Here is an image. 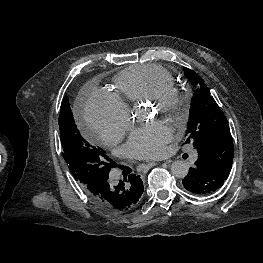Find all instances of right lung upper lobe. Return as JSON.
<instances>
[{"label":"right lung upper lobe","mask_w":263,"mask_h":263,"mask_svg":"<svg viewBox=\"0 0 263 263\" xmlns=\"http://www.w3.org/2000/svg\"><path fill=\"white\" fill-rule=\"evenodd\" d=\"M143 193V186L136 187L135 190L130 195V201H127V203L124 206H121L120 208L114 210L112 213H124L131 209H133L137 202L139 201V198L141 197Z\"/></svg>","instance_id":"1"}]
</instances>
